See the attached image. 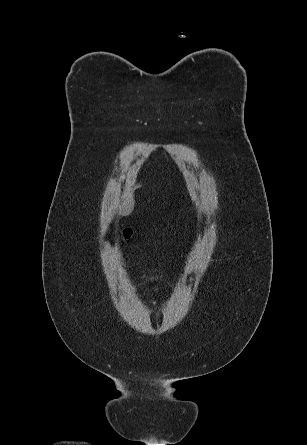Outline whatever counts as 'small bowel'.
<instances>
[{"mask_svg": "<svg viewBox=\"0 0 307 445\" xmlns=\"http://www.w3.org/2000/svg\"><path fill=\"white\" fill-rule=\"evenodd\" d=\"M141 278H142V280H145V279H146V277H145L144 275H143Z\"/></svg>", "mask_w": 307, "mask_h": 445, "instance_id": "small-bowel-1", "label": "small bowel"}]
</instances>
